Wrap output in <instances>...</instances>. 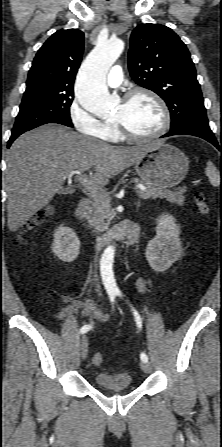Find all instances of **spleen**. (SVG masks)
Returning a JSON list of instances; mask_svg holds the SVG:
<instances>
[{"label":"spleen","mask_w":222,"mask_h":447,"mask_svg":"<svg viewBox=\"0 0 222 447\" xmlns=\"http://www.w3.org/2000/svg\"><path fill=\"white\" fill-rule=\"evenodd\" d=\"M206 174L209 178L210 183L213 186H219V184H220L219 173H218L216 167L210 161H208V163H207Z\"/></svg>","instance_id":"obj_1"}]
</instances>
